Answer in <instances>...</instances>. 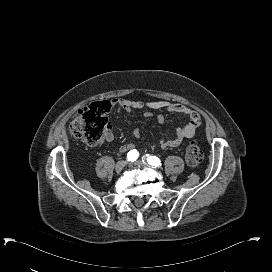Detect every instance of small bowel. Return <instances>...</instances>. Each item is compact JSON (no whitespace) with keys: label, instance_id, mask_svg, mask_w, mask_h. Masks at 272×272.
<instances>
[{"label":"small bowel","instance_id":"1","mask_svg":"<svg viewBox=\"0 0 272 272\" xmlns=\"http://www.w3.org/2000/svg\"><path fill=\"white\" fill-rule=\"evenodd\" d=\"M113 105L117 107L119 111H124L125 113H131L133 110H141V109H154V110H162L168 113H176L184 116L187 119V123L177 129V134L170 138L164 139L162 138L159 141V145L161 148L167 147H177L179 146L185 138H190L195 133V130L199 126L200 117L198 113L189 107L181 104H171L167 101H154L144 103L141 101H130L122 98H115L112 101ZM145 118H151L152 114L149 111H145L143 113ZM164 119L163 115L158 116V121L162 122ZM132 136L134 138H138L140 136L139 129H134L132 132ZM103 138L106 142H111L114 138L113 132L110 129H107L103 135ZM135 149V144L133 142H126L120 147L121 152H128Z\"/></svg>","mask_w":272,"mask_h":272}]
</instances>
